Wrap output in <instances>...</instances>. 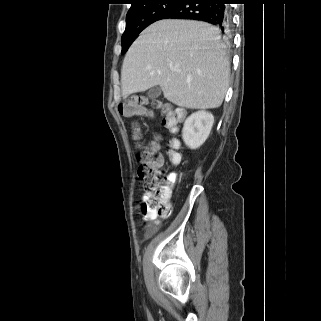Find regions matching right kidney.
<instances>
[{
	"mask_svg": "<svg viewBox=\"0 0 321 321\" xmlns=\"http://www.w3.org/2000/svg\"><path fill=\"white\" fill-rule=\"evenodd\" d=\"M214 123V117L206 111L191 114L185 121L182 138L191 149L200 147L208 138Z\"/></svg>",
	"mask_w": 321,
	"mask_h": 321,
	"instance_id": "ca27d5eb",
	"label": "right kidney"
}]
</instances>
